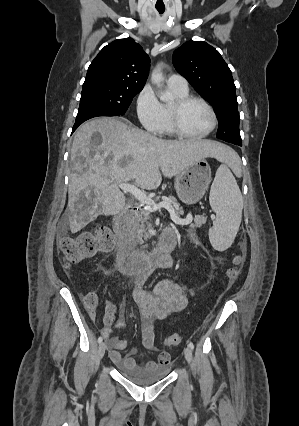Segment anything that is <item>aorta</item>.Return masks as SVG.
Masks as SVG:
<instances>
[{"label":"aorta","mask_w":299,"mask_h":426,"mask_svg":"<svg viewBox=\"0 0 299 426\" xmlns=\"http://www.w3.org/2000/svg\"><path fill=\"white\" fill-rule=\"evenodd\" d=\"M151 81L157 87H161L162 86L163 74H162L161 67H160L159 64L152 71ZM172 99H173V95L170 92H168V91L161 92V94H160V100L161 101H163V102H169Z\"/></svg>","instance_id":"1"}]
</instances>
